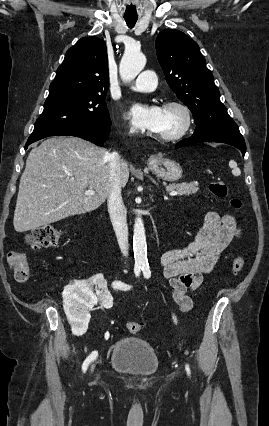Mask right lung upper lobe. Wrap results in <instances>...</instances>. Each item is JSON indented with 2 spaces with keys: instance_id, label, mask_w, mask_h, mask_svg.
Masks as SVG:
<instances>
[{
  "instance_id": "obj_1",
  "label": "right lung upper lobe",
  "mask_w": 269,
  "mask_h": 426,
  "mask_svg": "<svg viewBox=\"0 0 269 426\" xmlns=\"http://www.w3.org/2000/svg\"><path fill=\"white\" fill-rule=\"evenodd\" d=\"M108 87L106 44L96 37H84L66 52L49 93L63 90L107 93Z\"/></svg>"
}]
</instances>
